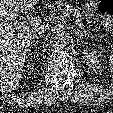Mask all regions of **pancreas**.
Masks as SVG:
<instances>
[{
    "label": "pancreas",
    "instance_id": "cf45deb5",
    "mask_svg": "<svg viewBox=\"0 0 113 113\" xmlns=\"http://www.w3.org/2000/svg\"><path fill=\"white\" fill-rule=\"evenodd\" d=\"M62 6L64 7L69 6L68 13L72 16L75 24L83 29L84 23H83L82 15L80 11L77 8H75L73 5H70L67 2L62 0H57V1H54L52 4H49L47 7L50 10V12H53L56 8L62 7Z\"/></svg>",
    "mask_w": 113,
    "mask_h": 113
}]
</instances>
